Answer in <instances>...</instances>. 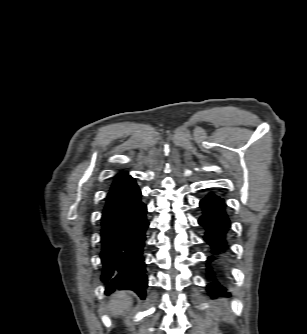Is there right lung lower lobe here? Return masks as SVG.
<instances>
[{"label": "right lung lower lobe", "instance_id": "right-lung-lower-lobe-1", "mask_svg": "<svg viewBox=\"0 0 307 334\" xmlns=\"http://www.w3.org/2000/svg\"><path fill=\"white\" fill-rule=\"evenodd\" d=\"M141 191L128 176L115 184L107 195L101 218V280L106 293L133 290L145 298L147 276L143 248L149 222Z\"/></svg>", "mask_w": 307, "mask_h": 334}]
</instances>
